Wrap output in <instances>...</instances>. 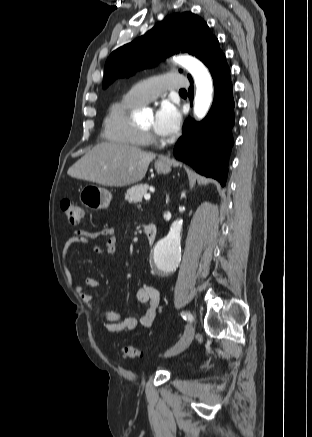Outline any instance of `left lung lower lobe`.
Masks as SVG:
<instances>
[{"mask_svg": "<svg viewBox=\"0 0 312 437\" xmlns=\"http://www.w3.org/2000/svg\"><path fill=\"white\" fill-rule=\"evenodd\" d=\"M208 68L214 82V102L211 110L201 122H195L190 118L185 122L183 135L176 143L173 154L198 173L213 177L224 186L233 145V87L230 69L222 51L214 57ZM189 92L192 101L193 90Z\"/></svg>", "mask_w": 312, "mask_h": 437, "instance_id": "obj_1", "label": "left lung lower lobe"}]
</instances>
